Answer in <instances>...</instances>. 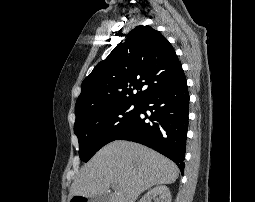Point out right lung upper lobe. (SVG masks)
<instances>
[{
    "label": "right lung upper lobe",
    "mask_w": 255,
    "mask_h": 202,
    "mask_svg": "<svg viewBox=\"0 0 255 202\" xmlns=\"http://www.w3.org/2000/svg\"><path fill=\"white\" fill-rule=\"evenodd\" d=\"M182 65L169 41L150 26H137L82 82L76 120L113 104L141 103L184 81ZM140 92L133 94V90Z\"/></svg>",
    "instance_id": "right-lung-upper-lobe-1"
}]
</instances>
